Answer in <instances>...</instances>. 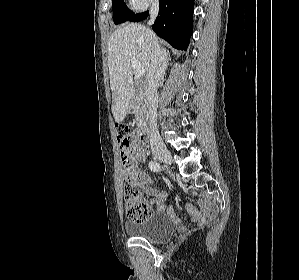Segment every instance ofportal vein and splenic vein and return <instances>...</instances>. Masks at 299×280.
Here are the masks:
<instances>
[{
    "label": "portal vein and splenic vein",
    "instance_id": "1",
    "mask_svg": "<svg viewBox=\"0 0 299 280\" xmlns=\"http://www.w3.org/2000/svg\"><path fill=\"white\" fill-rule=\"evenodd\" d=\"M131 65L134 69V73L136 77H140L143 74H145L146 69L136 59H131Z\"/></svg>",
    "mask_w": 299,
    "mask_h": 280
}]
</instances>
